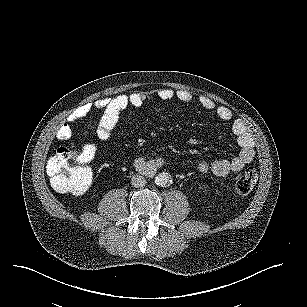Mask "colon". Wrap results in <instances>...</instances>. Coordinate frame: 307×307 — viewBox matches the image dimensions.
Instances as JSON below:
<instances>
[{
	"mask_svg": "<svg viewBox=\"0 0 307 307\" xmlns=\"http://www.w3.org/2000/svg\"><path fill=\"white\" fill-rule=\"evenodd\" d=\"M47 171L53 188L60 193L82 194L91 186L92 172L78 148H59L49 159ZM257 178V170L249 167L235 180L234 192L238 195L250 193Z\"/></svg>",
	"mask_w": 307,
	"mask_h": 307,
	"instance_id": "obj_1",
	"label": "colon"
}]
</instances>
